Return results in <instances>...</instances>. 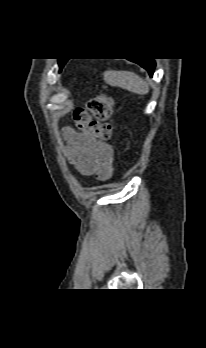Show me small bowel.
<instances>
[{
    "instance_id": "obj_1",
    "label": "small bowel",
    "mask_w": 206,
    "mask_h": 348,
    "mask_svg": "<svg viewBox=\"0 0 206 348\" xmlns=\"http://www.w3.org/2000/svg\"><path fill=\"white\" fill-rule=\"evenodd\" d=\"M63 134L67 141V157L81 174L94 175L100 180L111 177L114 155L112 145L70 128H65Z\"/></svg>"
}]
</instances>
